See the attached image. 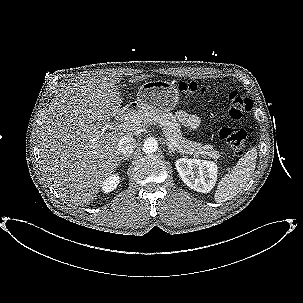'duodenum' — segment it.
I'll return each instance as SVG.
<instances>
[{"mask_svg": "<svg viewBox=\"0 0 303 303\" xmlns=\"http://www.w3.org/2000/svg\"><path fill=\"white\" fill-rule=\"evenodd\" d=\"M131 112H133V108H125L117 114L116 118L118 121H123Z\"/></svg>", "mask_w": 303, "mask_h": 303, "instance_id": "1", "label": "duodenum"}]
</instances>
